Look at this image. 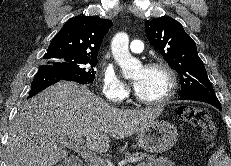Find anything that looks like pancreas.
I'll return each mask as SVG.
<instances>
[{
	"label": "pancreas",
	"mask_w": 231,
	"mask_h": 166,
	"mask_svg": "<svg viewBox=\"0 0 231 166\" xmlns=\"http://www.w3.org/2000/svg\"><path fill=\"white\" fill-rule=\"evenodd\" d=\"M123 155L126 159L139 158L141 162L137 166H175L174 162L168 160V158L166 157H156L154 155H148L142 152H135V153L125 152ZM89 166H93V165L90 164ZM98 166H107V165L104 161Z\"/></svg>",
	"instance_id": "cf45deb5"
}]
</instances>
